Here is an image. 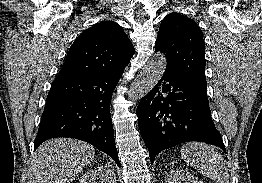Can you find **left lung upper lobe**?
Here are the masks:
<instances>
[{
  "mask_svg": "<svg viewBox=\"0 0 262 183\" xmlns=\"http://www.w3.org/2000/svg\"><path fill=\"white\" fill-rule=\"evenodd\" d=\"M155 50L165 54L166 70L207 88L203 33L194 20L168 14L161 22Z\"/></svg>",
  "mask_w": 262,
  "mask_h": 183,
  "instance_id": "5c2ea615",
  "label": "left lung upper lobe"
}]
</instances>
